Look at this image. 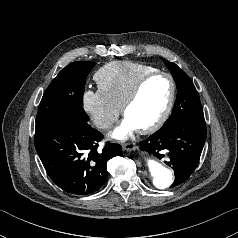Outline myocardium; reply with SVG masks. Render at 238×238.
I'll return each mask as SVG.
<instances>
[{
  "instance_id": "obj_1",
  "label": "myocardium",
  "mask_w": 238,
  "mask_h": 238,
  "mask_svg": "<svg viewBox=\"0 0 238 238\" xmlns=\"http://www.w3.org/2000/svg\"><path fill=\"white\" fill-rule=\"evenodd\" d=\"M158 76H163V77L167 78L169 81V84H170L169 99H168V102H167L163 112L161 113V115L152 124H150L147 127L138 129V132L140 134H150V133L155 132L168 119V117L172 111V108L174 106L175 97H176V84H175L174 78L172 77L171 74L164 72V71H154L152 73H149V74L143 76L142 78H140L137 81V83L134 85L131 92L129 93V95L126 97V99L124 100V102L121 105V113L125 116L126 111L137 100V98L139 97V95H140L143 87L146 85V83L148 81H150L151 79L158 77Z\"/></svg>"
}]
</instances>
